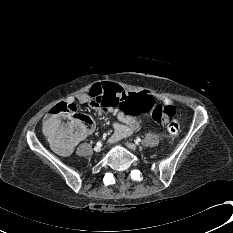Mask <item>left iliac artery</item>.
Returning <instances> with one entry per match:
<instances>
[{"label":"left iliac artery","mask_w":233,"mask_h":233,"mask_svg":"<svg viewBox=\"0 0 233 233\" xmlns=\"http://www.w3.org/2000/svg\"><path fill=\"white\" fill-rule=\"evenodd\" d=\"M140 142H141V139H140V138H136V139H135V143H136V144H139Z\"/></svg>","instance_id":"left-iliac-artery-1"}]
</instances>
